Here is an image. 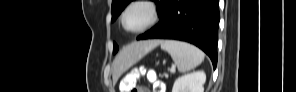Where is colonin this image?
<instances>
[{
  "instance_id": "colon-1",
  "label": "colon",
  "mask_w": 296,
  "mask_h": 92,
  "mask_svg": "<svg viewBox=\"0 0 296 92\" xmlns=\"http://www.w3.org/2000/svg\"><path fill=\"white\" fill-rule=\"evenodd\" d=\"M144 73L141 69H133L126 73L120 80V90L122 92H149L145 87L136 85L137 79ZM150 81L155 83V92L162 91V83L156 79L153 73L149 74Z\"/></svg>"
}]
</instances>
